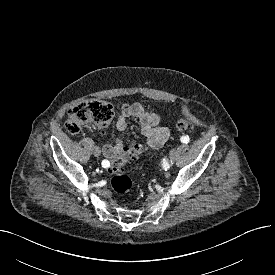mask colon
Segmentation results:
<instances>
[{"mask_svg": "<svg viewBox=\"0 0 275 275\" xmlns=\"http://www.w3.org/2000/svg\"><path fill=\"white\" fill-rule=\"evenodd\" d=\"M114 116V108L111 103L105 100L88 99L77 103L67 114L65 129L72 135L78 134L84 125L94 123L100 128H105L110 124ZM192 122L191 110L184 107L182 116L178 119L176 127L179 130L187 129ZM144 152V146L135 144L132 146L128 156L115 159L111 163L110 172L113 174L111 188L117 195L128 193L133 186L129 176L124 174V168L129 157L138 156Z\"/></svg>", "mask_w": 275, "mask_h": 275, "instance_id": "1", "label": "colon"}]
</instances>
